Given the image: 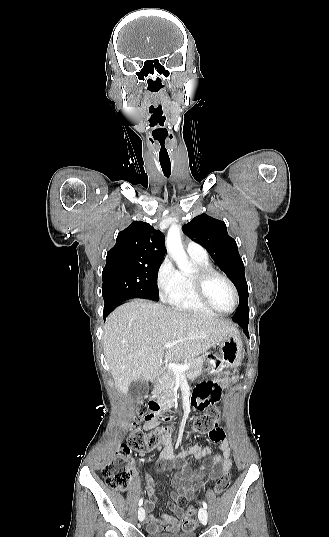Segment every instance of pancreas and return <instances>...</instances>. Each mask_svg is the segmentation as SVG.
I'll return each instance as SVG.
<instances>
[{
  "label": "pancreas",
  "instance_id": "obj_1",
  "mask_svg": "<svg viewBox=\"0 0 329 537\" xmlns=\"http://www.w3.org/2000/svg\"><path fill=\"white\" fill-rule=\"evenodd\" d=\"M205 362V357H198L196 359H188L186 364H189L190 367L186 371H184L182 374L186 378H193L197 376ZM177 383V375L176 372L173 371L171 368L168 369L166 372L163 373L159 381L156 382L154 385V392L157 394H160L168 399H172L175 395L173 392L175 386Z\"/></svg>",
  "mask_w": 329,
  "mask_h": 537
}]
</instances>
